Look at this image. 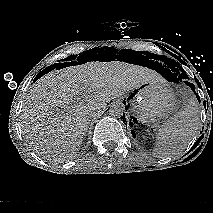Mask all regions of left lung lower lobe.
Masks as SVG:
<instances>
[{"label": "left lung lower lobe", "mask_w": 213, "mask_h": 213, "mask_svg": "<svg viewBox=\"0 0 213 213\" xmlns=\"http://www.w3.org/2000/svg\"><path fill=\"white\" fill-rule=\"evenodd\" d=\"M171 75L173 76V78L171 79V81H174V82H179V81H181V80H179L178 78H176V77L173 75V73H171ZM185 83L187 84V86H190V87H191L192 91L195 92V86H194L192 83H189V82H187V81H185ZM196 97H197L198 101L200 102V98H199V96H197V94H196ZM121 118H122V117H121ZM123 118H124V113H123Z\"/></svg>", "instance_id": "left-lung-lower-lobe-1"}]
</instances>
